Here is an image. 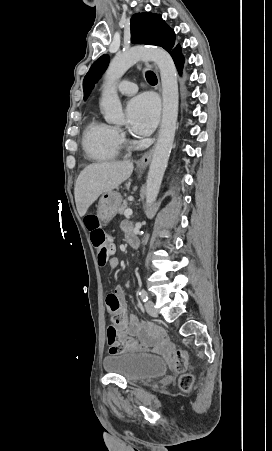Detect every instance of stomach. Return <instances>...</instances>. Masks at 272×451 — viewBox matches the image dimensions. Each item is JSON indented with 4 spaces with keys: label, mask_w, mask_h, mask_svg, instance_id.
<instances>
[{
    "label": "stomach",
    "mask_w": 272,
    "mask_h": 451,
    "mask_svg": "<svg viewBox=\"0 0 272 451\" xmlns=\"http://www.w3.org/2000/svg\"><path fill=\"white\" fill-rule=\"evenodd\" d=\"M121 202L122 196H120L118 192H112V190L104 192L98 202L97 208V216L100 222H104V224L110 222V220L116 216L118 208L121 206Z\"/></svg>",
    "instance_id": "obj_1"
}]
</instances>
